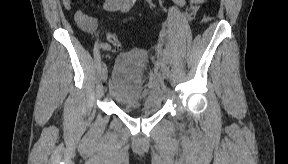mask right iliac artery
Wrapping results in <instances>:
<instances>
[{"label":"right iliac artery","mask_w":288,"mask_h":164,"mask_svg":"<svg viewBox=\"0 0 288 164\" xmlns=\"http://www.w3.org/2000/svg\"><path fill=\"white\" fill-rule=\"evenodd\" d=\"M100 47H102L104 50H111V45L108 43H102L100 44Z\"/></svg>","instance_id":"right-iliac-artery-1"}]
</instances>
